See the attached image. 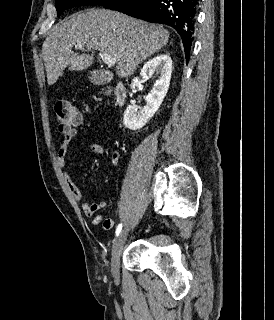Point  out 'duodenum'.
I'll use <instances>...</instances> for the list:
<instances>
[{
  "instance_id": "obj_1",
  "label": "duodenum",
  "mask_w": 274,
  "mask_h": 320,
  "mask_svg": "<svg viewBox=\"0 0 274 320\" xmlns=\"http://www.w3.org/2000/svg\"><path fill=\"white\" fill-rule=\"evenodd\" d=\"M125 98V90L122 85H119L116 90V102L122 104Z\"/></svg>"
}]
</instances>
